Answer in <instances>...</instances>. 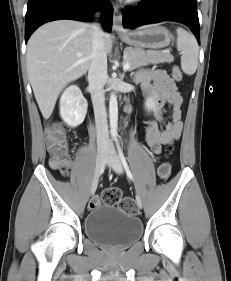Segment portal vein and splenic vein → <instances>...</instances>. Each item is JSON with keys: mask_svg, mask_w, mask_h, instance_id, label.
<instances>
[{"mask_svg": "<svg viewBox=\"0 0 231 281\" xmlns=\"http://www.w3.org/2000/svg\"><path fill=\"white\" fill-rule=\"evenodd\" d=\"M129 68H130V63L126 62V63L123 65V69H124L125 71H127V70H129Z\"/></svg>", "mask_w": 231, "mask_h": 281, "instance_id": "18ae733b", "label": "portal vein and splenic vein"}]
</instances>
